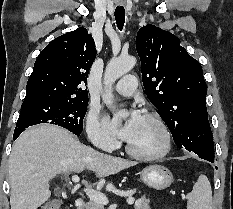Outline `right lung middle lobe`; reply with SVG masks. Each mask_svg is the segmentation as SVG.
Here are the masks:
<instances>
[{
  "instance_id": "right-lung-middle-lobe-1",
  "label": "right lung middle lobe",
  "mask_w": 233,
  "mask_h": 209,
  "mask_svg": "<svg viewBox=\"0 0 233 209\" xmlns=\"http://www.w3.org/2000/svg\"><path fill=\"white\" fill-rule=\"evenodd\" d=\"M88 100L40 101L22 104L14 132L29 126L48 123L62 126L79 136L83 129Z\"/></svg>"
}]
</instances>
